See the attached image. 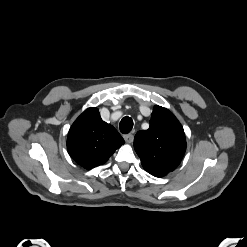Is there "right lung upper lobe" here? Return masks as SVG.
<instances>
[{"label": "right lung upper lobe", "instance_id": "right-lung-upper-lobe-1", "mask_svg": "<svg viewBox=\"0 0 247 247\" xmlns=\"http://www.w3.org/2000/svg\"><path fill=\"white\" fill-rule=\"evenodd\" d=\"M124 140L117 130L104 122L97 108H88L72 124L67 150L73 160L90 169L104 164Z\"/></svg>", "mask_w": 247, "mask_h": 247}]
</instances>
